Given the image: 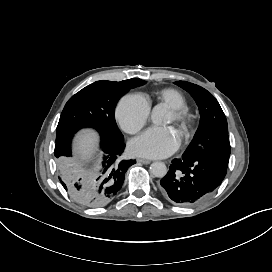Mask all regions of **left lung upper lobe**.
I'll return each mask as SVG.
<instances>
[{"instance_id": "5c2ea615", "label": "left lung upper lobe", "mask_w": 272, "mask_h": 272, "mask_svg": "<svg viewBox=\"0 0 272 272\" xmlns=\"http://www.w3.org/2000/svg\"><path fill=\"white\" fill-rule=\"evenodd\" d=\"M175 84L196 101L200 112L199 128L182 157H214L229 161L230 143L227 120L217 100L206 89L186 81Z\"/></svg>"}]
</instances>
